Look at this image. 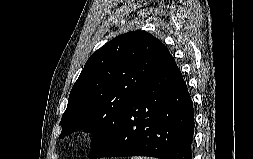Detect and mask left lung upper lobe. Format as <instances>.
Returning <instances> with one entry per match:
<instances>
[{
	"label": "left lung upper lobe",
	"instance_id": "obj_1",
	"mask_svg": "<svg viewBox=\"0 0 253 159\" xmlns=\"http://www.w3.org/2000/svg\"><path fill=\"white\" fill-rule=\"evenodd\" d=\"M161 41L144 31L119 35L91 55L75 82L59 138L84 129L93 140L89 158L121 112L172 62Z\"/></svg>",
	"mask_w": 253,
	"mask_h": 159
}]
</instances>
